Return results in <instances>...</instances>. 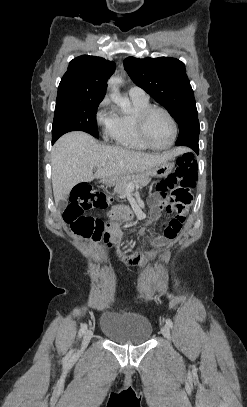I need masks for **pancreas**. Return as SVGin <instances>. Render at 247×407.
Listing matches in <instances>:
<instances>
[{"mask_svg":"<svg viewBox=\"0 0 247 407\" xmlns=\"http://www.w3.org/2000/svg\"><path fill=\"white\" fill-rule=\"evenodd\" d=\"M150 181L151 178L146 174L127 175L115 186L114 192L118 194L120 198H124L129 184L133 186H146Z\"/></svg>","mask_w":247,"mask_h":407,"instance_id":"obj_1","label":"pancreas"}]
</instances>
